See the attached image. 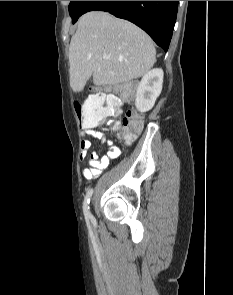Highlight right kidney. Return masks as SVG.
I'll use <instances>...</instances> for the list:
<instances>
[{"instance_id": "right-kidney-1", "label": "right kidney", "mask_w": 233, "mask_h": 295, "mask_svg": "<svg viewBox=\"0 0 233 295\" xmlns=\"http://www.w3.org/2000/svg\"><path fill=\"white\" fill-rule=\"evenodd\" d=\"M163 70L156 68L147 72L138 83L135 106L141 113L149 111L162 91Z\"/></svg>"}]
</instances>
